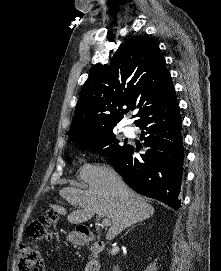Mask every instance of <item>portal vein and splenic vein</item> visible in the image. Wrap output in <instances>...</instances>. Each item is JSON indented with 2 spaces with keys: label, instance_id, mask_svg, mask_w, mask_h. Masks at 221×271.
<instances>
[{
  "label": "portal vein and splenic vein",
  "instance_id": "portal-vein-and-splenic-vein-1",
  "mask_svg": "<svg viewBox=\"0 0 221 271\" xmlns=\"http://www.w3.org/2000/svg\"><path fill=\"white\" fill-rule=\"evenodd\" d=\"M97 217H103L102 225H106V227H108V225H111V219L110 217H108V215H98L97 213Z\"/></svg>",
  "mask_w": 221,
  "mask_h": 271
}]
</instances>
